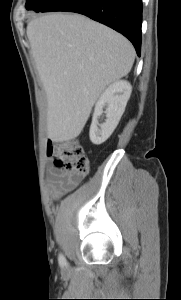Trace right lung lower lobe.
Listing matches in <instances>:
<instances>
[{
	"instance_id": "right-lung-lower-lobe-1",
	"label": "right lung lower lobe",
	"mask_w": 181,
	"mask_h": 300,
	"mask_svg": "<svg viewBox=\"0 0 181 300\" xmlns=\"http://www.w3.org/2000/svg\"><path fill=\"white\" fill-rule=\"evenodd\" d=\"M76 12L127 37L141 51L142 0H55L41 12Z\"/></svg>"
}]
</instances>
